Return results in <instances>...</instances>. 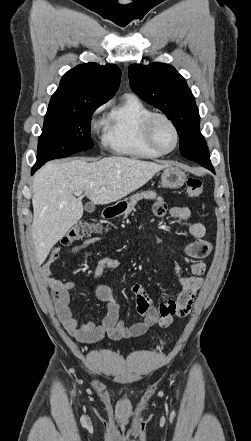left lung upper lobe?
Returning <instances> with one entry per match:
<instances>
[{
  "mask_svg": "<svg viewBox=\"0 0 251 441\" xmlns=\"http://www.w3.org/2000/svg\"><path fill=\"white\" fill-rule=\"evenodd\" d=\"M129 81L133 92L172 120L180 138L182 156L197 163L205 161L201 154L203 146L195 144L201 135L195 98L175 68L164 63L130 65Z\"/></svg>",
  "mask_w": 251,
  "mask_h": 441,
  "instance_id": "left-lung-upper-lobe-1",
  "label": "left lung upper lobe"
}]
</instances>
